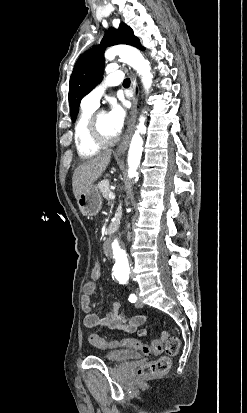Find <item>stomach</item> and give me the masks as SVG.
<instances>
[{
    "instance_id": "obj_1",
    "label": "stomach",
    "mask_w": 247,
    "mask_h": 413,
    "mask_svg": "<svg viewBox=\"0 0 247 413\" xmlns=\"http://www.w3.org/2000/svg\"><path fill=\"white\" fill-rule=\"evenodd\" d=\"M102 200L99 188L92 184V186L87 188L86 192L79 194L77 204L84 217H93V215L99 213L102 207Z\"/></svg>"
}]
</instances>
